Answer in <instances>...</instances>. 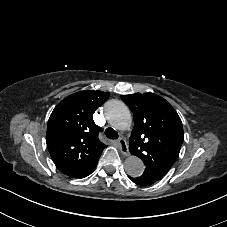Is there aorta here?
<instances>
[{
	"instance_id": "obj_1",
	"label": "aorta",
	"mask_w": 227,
	"mask_h": 227,
	"mask_svg": "<svg viewBox=\"0 0 227 227\" xmlns=\"http://www.w3.org/2000/svg\"><path fill=\"white\" fill-rule=\"evenodd\" d=\"M105 113L110 124L118 130H126L132 124L128 107L119 100H110L105 105ZM144 163L137 156L131 155L125 160V171L129 176L138 177L144 172Z\"/></svg>"
}]
</instances>
